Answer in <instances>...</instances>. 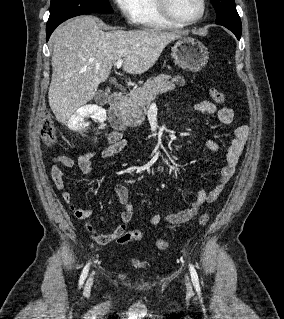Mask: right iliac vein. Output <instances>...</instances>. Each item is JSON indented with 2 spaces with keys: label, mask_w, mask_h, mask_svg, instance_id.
Wrapping results in <instances>:
<instances>
[{
  "label": "right iliac vein",
  "mask_w": 284,
  "mask_h": 319,
  "mask_svg": "<svg viewBox=\"0 0 284 319\" xmlns=\"http://www.w3.org/2000/svg\"><path fill=\"white\" fill-rule=\"evenodd\" d=\"M92 283H93V277L91 276L89 278V280L87 281V284H86V289L89 290L92 286Z\"/></svg>",
  "instance_id": "63e3f726"
}]
</instances>
